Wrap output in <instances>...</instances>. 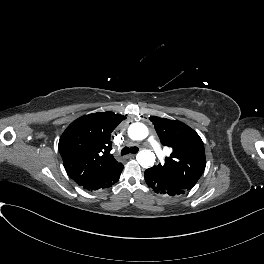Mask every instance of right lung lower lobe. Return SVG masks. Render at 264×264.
I'll list each match as a JSON object with an SVG mask.
<instances>
[{
	"instance_id": "1",
	"label": "right lung lower lobe",
	"mask_w": 264,
	"mask_h": 264,
	"mask_svg": "<svg viewBox=\"0 0 264 264\" xmlns=\"http://www.w3.org/2000/svg\"><path fill=\"white\" fill-rule=\"evenodd\" d=\"M122 169H123V164L121 163L113 170L104 174L102 177L92 182H89L81 187H83L84 189L90 192L112 189V187L118 183Z\"/></svg>"
}]
</instances>
